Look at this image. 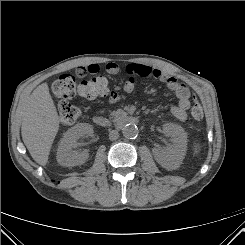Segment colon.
I'll use <instances>...</instances> for the list:
<instances>
[{
	"label": "colon",
	"mask_w": 245,
	"mask_h": 245,
	"mask_svg": "<svg viewBox=\"0 0 245 245\" xmlns=\"http://www.w3.org/2000/svg\"><path fill=\"white\" fill-rule=\"evenodd\" d=\"M109 91L108 80L104 76H96L82 81L78 86L73 75H61L53 84L52 92L54 96L60 99L58 103V113L62 124L70 125L74 123L82 114V107L71 104V99L76 92L81 96L93 99L98 96L106 95ZM192 116L196 120L203 118V109L196 96H193Z\"/></svg>",
	"instance_id": "obj_1"
}]
</instances>
